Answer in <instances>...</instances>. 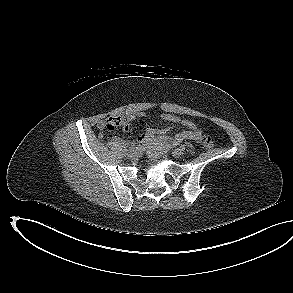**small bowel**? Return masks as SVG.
<instances>
[{
  "instance_id": "1",
  "label": "small bowel",
  "mask_w": 293,
  "mask_h": 293,
  "mask_svg": "<svg viewBox=\"0 0 293 293\" xmlns=\"http://www.w3.org/2000/svg\"><path fill=\"white\" fill-rule=\"evenodd\" d=\"M144 114L139 113L133 116H124V117H111L106 120H101L97 123V128L102 131L107 128V125L110 122L116 124V126H121L123 130L128 131L132 121H138L145 127V132L138 138V142L144 146L148 147H160L164 144H171L172 146L178 145L186 140H193L196 142H201L202 140V131L196 126L194 122L187 119H180L178 116L163 113L160 117L165 122L170 123H180L185 130L175 134L174 136L167 135V131L157 130L151 127L146 126L143 121Z\"/></svg>"
}]
</instances>
